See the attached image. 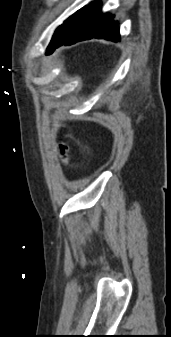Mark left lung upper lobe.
I'll use <instances>...</instances> for the list:
<instances>
[{
    "label": "left lung upper lobe",
    "mask_w": 171,
    "mask_h": 337,
    "mask_svg": "<svg viewBox=\"0 0 171 337\" xmlns=\"http://www.w3.org/2000/svg\"><path fill=\"white\" fill-rule=\"evenodd\" d=\"M84 8L78 10L75 12L73 15H71L67 20L64 21L62 25H60L57 30L55 31L52 40L49 44V47L47 48V54L52 53L56 45L63 40L66 36H68L76 24L78 23L82 13H83Z\"/></svg>",
    "instance_id": "left-lung-upper-lobe-1"
}]
</instances>
